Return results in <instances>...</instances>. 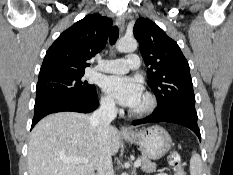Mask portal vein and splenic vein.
Listing matches in <instances>:
<instances>
[{
	"label": "portal vein and splenic vein",
	"instance_id": "obj_1",
	"mask_svg": "<svg viewBox=\"0 0 233 175\" xmlns=\"http://www.w3.org/2000/svg\"><path fill=\"white\" fill-rule=\"evenodd\" d=\"M66 162L88 164L89 160L86 159V158H70V159H67ZM140 165H141V161L140 160H136L134 162V167H138Z\"/></svg>",
	"mask_w": 233,
	"mask_h": 175
}]
</instances>
